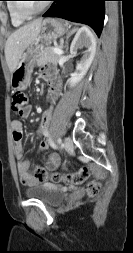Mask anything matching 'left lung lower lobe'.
<instances>
[{"label":"left lung lower lobe","mask_w":133,"mask_h":253,"mask_svg":"<svg viewBox=\"0 0 133 253\" xmlns=\"http://www.w3.org/2000/svg\"><path fill=\"white\" fill-rule=\"evenodd\" d=\"M43 17H59L89 25L100 36L103 29L106 0H52Z\"/></svg>","instance_id":"obj_1"}]
</instances>
